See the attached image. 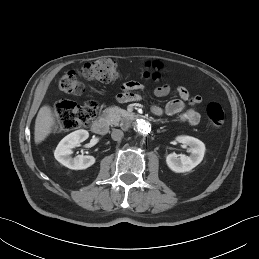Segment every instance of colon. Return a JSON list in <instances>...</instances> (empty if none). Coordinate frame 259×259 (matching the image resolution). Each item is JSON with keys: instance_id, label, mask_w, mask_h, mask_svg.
Returning <instances> with one entry per match:
<instances>
[{"instance_id": "obj_1", "label": "colon", "mask_w": 259, "mask_h": 259, "mask_svg": "<svg viewBox=\"0 0 259 259\" xmlns=\"http://www.w3.org/2000/svg\"><path fill=\"white\" fill-rule=\"evenodd\" d=\"M147 79L156 80L160 77L157 70L147 71L144 75ZM120 78L117 63L110 58H101L89 62L78 69L66 72L58 82L59 89L72 95L83 93L82 79L95 80L100 82H113ZM98 111V102L89 99L84 104H77L70 101H62L55 106L56 130L71 131L88 124L95 118ZM206 113L210 124L214 128H222L226 122V113L217 102L207 105Z\"/></svg>"}]
</instances>
